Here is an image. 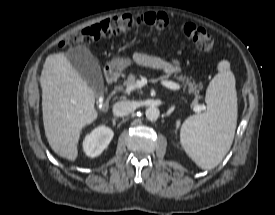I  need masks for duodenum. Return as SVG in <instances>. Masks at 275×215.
Segmentation results:
<instances>
[{"instance_id": "1", "label": "duodenum", "mask_w": 275, "mask_h": 215, "mask_svg": "<svg viewBox=\"0 0 275 215\" xmlns=\"http://www.w3.org/2000/svg\"><path fill=\"white\" fill-rule=\"evenodd\" d=\"M105 78L110 86H113L118 80V73L114 69H107L105 71Z\"/></svg>"}]
</instances>
